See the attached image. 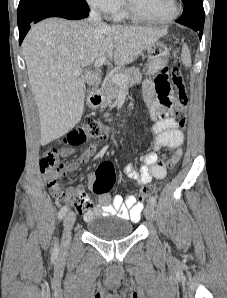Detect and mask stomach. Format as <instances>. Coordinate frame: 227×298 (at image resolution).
I'll use <instances>...</instances> for the list:
<instances>
[{
	"label": "stomach",
	"mask_w": 227,
	"mask_h": 298,
	"mask_svg": "<svg viewBox=\"0 0 227 298\" xmlns=\"http://www.w3.org/2000/svg\"><path fill=\"white\" fill-rule=\"evenodd\" d=\"M147 63L145 66L147 75H154L163 69L169 58V49L162 42H155L146 48Z\"/></svg>",
	"instance_id": "0dacf381"
}]
</instances>
